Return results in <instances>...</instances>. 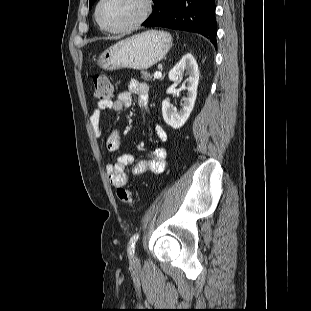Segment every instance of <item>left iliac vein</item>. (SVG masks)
<instances>
[{"label":"left iliac vein","instance_id":"obj_1","mask_svg":"<svg viewBox=\"0 0 311 311\" xmlns=\"http://www.w3.org/2000/svg\"><path fill=\"white\" fill-rule=\"evenodd\" d=\"M134 261H135V262H137V261H138V259H137L135 256H134Z\"/></svg>","mask_w":311,"mask_h":311}]
</instances>
